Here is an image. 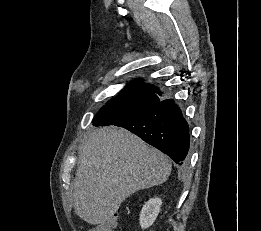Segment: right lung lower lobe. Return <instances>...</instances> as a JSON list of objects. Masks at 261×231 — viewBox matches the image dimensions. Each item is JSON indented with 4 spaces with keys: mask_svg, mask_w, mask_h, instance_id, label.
Here are the masks:
<instances>
[{
    "mask_svg": "<svg viewBox=\"0 0 261 231\" xmlns=\"http://www.w3.org/2000/svg\"><path fill=\"white\" fill-rule=\"evenodd\" d=\"M114 125L136 134L177 164L186 165L190 143L189 127L172 99L162 100L148 110Z\"/></svg>",
    "mask_w": 261,
    "mask_h": 231,
    "instance_id": "1",
    "label": "right lung lower lobe"
}]
</instances>
